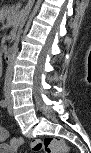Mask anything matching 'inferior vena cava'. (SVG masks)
I'll use <instances>...</instances> for the list:
<instances>
[{
  "mask_svg": "<svg viewBox=\"0 0 91 153\" xmlns=\"http://www.w3.org/2000/svg\"><path fill=\"white\" fill-rule=\"evenodd\" d=\"M33 2H34V0H29L25 9L22 11V13H21V23L22 24H24L25 19L27 18L28 14L30 13L31 8L33 6ZM18 41H19V37H16V44H14V47L12 48L13 53H18V50H19ZM16 57H17V54H12V57L10 58L11 60H9V63L7 64L9 67L6 71L4 88L8 92V97L9 98H10L9 88H10V85H11V82H12V75H13V65H14L13 63L16 62L15 61L17 59Z\"/></svg>",
  "mask_w": 91,
  "mask_h": 153,
  "instance_id": "obj_1",
  "label": "inferior vena cava"
}]
</instances>
